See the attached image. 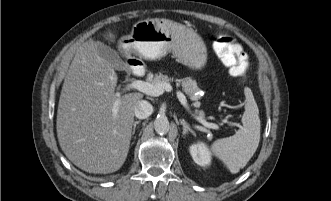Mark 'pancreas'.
Instances as JSON below:
<instances>
[{"mask_svg":"<svg viewBox=\"0 0 331 201\" xmlns=\"http://www.w3.org/2000/svg\"><path fill=\"white\" fill-rule=\"evenodd\" d=\"M149 83L157 84V83H169L172 81L170 77L164 75L162 73L155 74L152 78H150ZM177 84L181 85L184 92L189 95L190 97H195V93L198 92L200 89L197 85L196 80L192 79L191 77H186L183 79H176ZM198 97H195L197 99ZM199 118H204L205 114L203 111H197Z\"/></svg>","mask_w":331,"mask_h":201,"instance_id":"1","label":"pancreas"}]
</instances>
